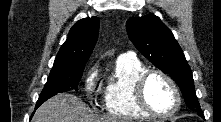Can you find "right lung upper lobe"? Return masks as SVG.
Wrapping results in <instances>:
<instances>
[{
    "label": "right lung upper lobe",
    "instance_id": "1",
    "mask_svg": "<svg viewBox=\"0 0 221 122\" xmlns=\"http://www.w3.org/2000/svg\"><path fill=\"white\" fill-rule=\"evenodd\" d=\"M98 31L99 19L97 17L76 22L71 27L67 40L61 46L53 66H84L96 44Z\"/></svg>",
    "mask_w": 221,
    "mask_h": 122
}]
</instances>
